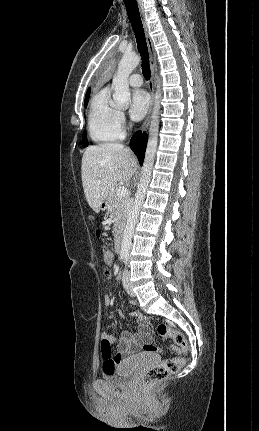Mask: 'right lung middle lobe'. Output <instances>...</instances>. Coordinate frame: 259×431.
Wrapping results in <instances>:
<instances>
[{
    "label": "right lung middle lobe",
    "instance_id": "1",
    "mask_svg": "<svg viewBox=\"0 0 259 431\" xmlns=\"http://www.w3.org/2000/svg\"><path fill=\"white\" fill-rule=\"evenodd\" d=\"M88 100H89V93H87V94H86L85 102H84V107H86V106H87ZM82 143H83V146H84V147H86V146L88 145L85 131H84V133H83Z\"/></svg>",
    "mask_w": 259,
    "mask_h": 431
}]
</instances>
